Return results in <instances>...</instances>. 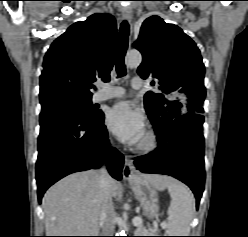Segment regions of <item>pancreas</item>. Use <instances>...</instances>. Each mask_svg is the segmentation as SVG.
<instances>
[{
  "label": "pancreas",
  "instance_id": "cf45deb5",
  "mask_svg": "<svg viewBox=\"0 0 248 237\" xmlns=\"http://www.w3.org/2000/svg\"><path fill=\"white\" fill-rule=\"evenodd\" d=\"M140 236H148V235H154L153 233H156L155 229L147 230L142 225L138 226L137 230L135 231Z\"/></svg>",
  "mask_w": 248,
  "mask_h": 237
}]
</instances>
